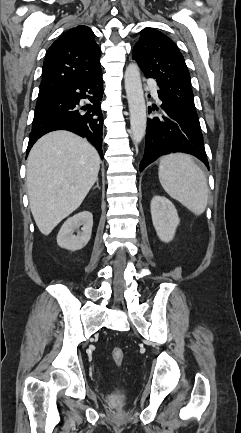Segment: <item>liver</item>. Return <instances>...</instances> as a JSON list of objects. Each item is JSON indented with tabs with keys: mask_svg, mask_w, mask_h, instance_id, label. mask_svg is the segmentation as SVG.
Here are the masks:
<instances>
[{
	"mask_svg": "<svg viewBox=\"0 0 241 433\" xmlns=\"http://www.w3.org/2000/svg\"><path fill=\"white\" fill-rule=\"evenodd\" d=\"M100 157L86 140L68 131L39 139L27 159L29 205L43 235L75 211L98 178Z\"/></svg>",
	"mask_w": 241,
	"mask_h": 433,
	"instance_id": "1",
	"label": "liver"
}]
</instances>
